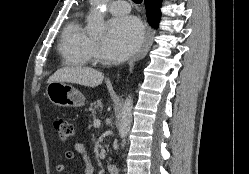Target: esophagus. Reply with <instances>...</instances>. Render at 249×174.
<instances>
[{
	"label": "esophagus",
	"mask_w": 249,
	"mask_h": 174,
	"mask_svg": "<svg viewBox=\"0 0 249 174\" xmlns=\"http://www.w3.org/2000/svg\"><path fill=\"white\" fill-rule=\"evenodd\" d=\"M152 35H153V32H152V28L148 25L147 26V29H146V36H145V39H144V43H143V46L142 48L140 49V51L135 55L133 56L130 61L128 62V68H129V72H131L134 68V65L135 63L144 58L145 55L148 53L149 49H150V46H151V43H152Z\"/></svg>",
	"instance_id": "esophagus-1"
}]
</instances>
